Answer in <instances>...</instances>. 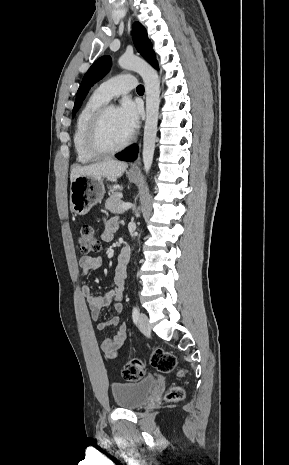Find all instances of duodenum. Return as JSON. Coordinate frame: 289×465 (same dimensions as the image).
Here are the masks:
<instances>
[{
    "label": "duodenum",
    "mask_w": 289,
    "mask_h": 465,
    "mask_svg": "<svg viewBox=\"0 0 289 465\" xmlns=\"http://www.w3.org/2000/svg\"><path fill=\"white\" fill-rule=\"evenodd\" d=\"M130 257V249L129 247L125 246L122 248L121 253L119 255V260L122 263H127Z\"/></svg>",
    "instance_id": "1"
}]
</instances>
